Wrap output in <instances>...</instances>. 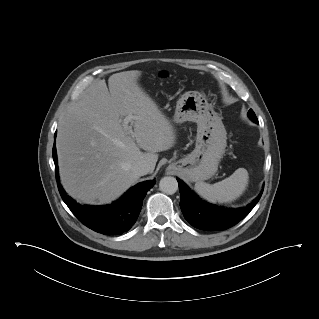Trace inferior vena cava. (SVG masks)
I'll use <instances>...</instances> for the list:
<instances>
[{
	"label": "inferior vena cava",
	"instance_id": "inferior-vena-cava-1",
	"mask_svg": "<svg viewBox=\"0 0 319 319\" xmlns=\"http://www.w3.org/2000/svg\"><path fill=\"white\" fill-rule=\"evenodd\" d=\"M132 171L138 176H143L150 172V166L145 161H139L133 165Z\"/></svg>",
	"mask_w": 319,
	"mask_h": 319
}]
</instances>
